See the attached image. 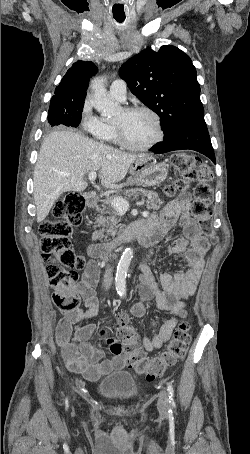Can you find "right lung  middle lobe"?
Instances as JSON below:
<instances>
[{"mask_svg":"<svg viewBox=\"0 0 250 454\" xmlns=\"http://www.w3.org/2000/svg\"><path fill=\"white\" fill-rule=\"evenodd\" d=\"M84 99L69 101L62 98H51L48 123L51 126L65 125L77 127L81 121Z\"/></svg>","mask_w":250,"mask_h":454,"instance_id":"obj_1","label":"right lung middle lobe"}]
</instances>
